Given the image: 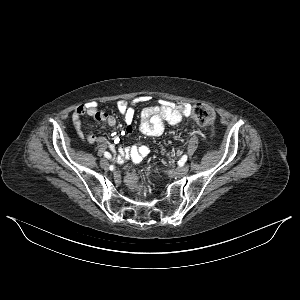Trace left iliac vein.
<instances>
[{"instance_id": "4c4485c4", "label": "left iliac vein", "mask_w": 300, "mask_h": 300, "mask_svg": "<svg viewBox=\"0 0 300 300\" xmlns=\"http://www.w3.org/2000/svg\"><path fill=\"white\" fill-rule=\"evenodd\" d=\"M189 171V166L188 165H184L182 167H179L175 170L171 171V174L177 177H182L185 176Z\"/></svg>"}]
</instances>
